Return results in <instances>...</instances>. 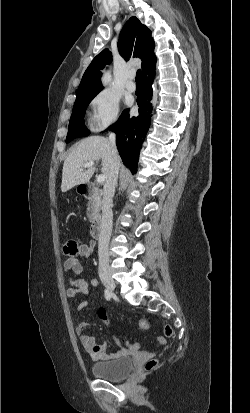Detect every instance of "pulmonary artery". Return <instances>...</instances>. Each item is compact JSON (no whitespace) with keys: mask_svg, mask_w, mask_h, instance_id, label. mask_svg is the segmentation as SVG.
<instances>
[{"mask_svg":"<svg viewBox=\"0 0 250 413\" xmlns=\"http://www.w3.org/2000/svg\"><path fill=\"white\" fill-rule=\"evenodd\" d=\"M134 77H135L134 72H130L128 74V80L126 82V88L130 92H134L136 90V84L134 82Z\"/></svg>","mask_w":250,"mask_h":413,"instance_id":"obj_1","label":"pulmonary artery"}]
</instances>
